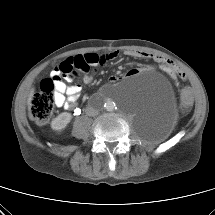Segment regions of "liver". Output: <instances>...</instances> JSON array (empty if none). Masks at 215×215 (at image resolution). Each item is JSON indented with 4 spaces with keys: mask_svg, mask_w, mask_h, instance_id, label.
<instances>
[{
    "mask_svg": "<svg viewBox=\"0 0 215 215\" xmlns=\"http://www.w3.org/2000/svg\"><path fill=\"white\" fill-rule=\"evenodd\" d=\"M34 91H35V89H34V88H31L30 93H29V95H28L27 104H28V107H29V108H30V106H31V101H32V99H33Z\"/></svg>",
    "mask_w": 215,
    "mask_h": 215,
    "instance_id": "6515ba94",
    "label": "liver"
}]
</instances>
